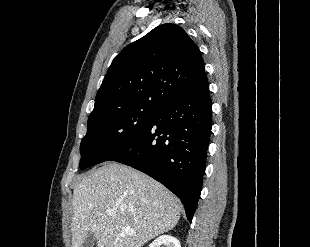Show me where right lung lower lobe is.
Wrapping results in <instances>:
<instances>
[{"mask_svg": "<svg viewBox=\"0 0 310 247\" xmlns=\"http://www.w3.org/2000/svg\"><path fill=\"white\" fill-rule=\"evenodd\" d=\"M208 82L161 106L139 135L107 161L131 166L162 183L192 221L202 189L212 127Z\"/></svg>", "mask_w": 310, "mask_h": 247, "instance_id": "obj_1", "label": "right lung lower lobe"}]
</instances>
